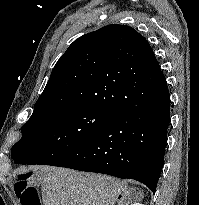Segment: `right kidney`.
Listing matches in <instances>:
<instances>
[{"mask_svg":"<svg viewBox=\"0 0 199 205\" xmlns=\"http://www.w3.org/2000/svg\"><path fill=\"white\" fill-rule=\"evenodd\" d=\"M131 205H143V204H141V203H134V204H131Z\"/></svg>","mask_w":199,"mask_h":205,"instance_id":"ca27d5eb","label":"right kidney"}]
</instances>
